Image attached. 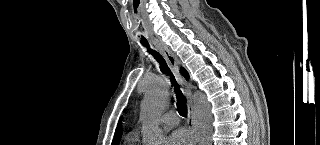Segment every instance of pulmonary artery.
Instances as JSON below:
<instances>
[{
	"mask_svg": "<svg viewBox=\"0 0 320 145\" xmlns=\"http://www.w3.org/2000/svg\"><path fill=\"white\" fill-rule=\"evenodd\" d=\"M160 123L166 127H174L179 123V118L175 112L169 111L160 117Z\"/></svg>",
	"mask_w": 320,
	"mask_h": 145,
	"instance_id": "pulmonary-artery-1",
	"label": "pulmonary artery"
}]
</instances>
